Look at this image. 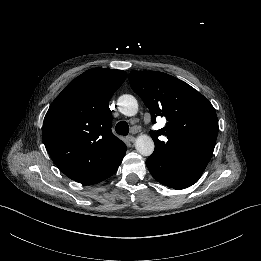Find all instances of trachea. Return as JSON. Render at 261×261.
I'll use <instances>...</instances> for the list:
<instances>
[{
    "mask_svg": "<svg viewBox=\"0 0 261 261\" xmlns=\"http://www.w3.org/2000/svg\"><path fill=\"white\" fill-rule=\"evenodd\" d=\"M115 131L119 135H123V136L128 135V133H129V125H128V123L125 122V121L118 122L116 127H115Z\"/></svg>",
    "mask_w": 261,
    "mask_h": 261,
    "instance_id": "1",
    "label": "trachea"
}]
</instances>
